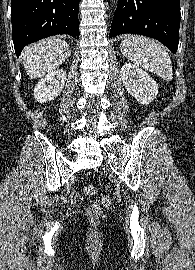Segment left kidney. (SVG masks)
<instances>
[{
  "mask_svg": "<svg viewBox=\"0 0 195 270\" xmlns=\"http://www.w3.org/2000/svg\"><path fill=\"white\" fill-rule=\"evenodd\" d=\"M120 75L126 90L141 104L147 105L156 98L158 84L142 69L126 63Z\"/></svg>",
  "mask_w": 195,
  "mask_h": 270,
  "instance_id": "obj_1",
  "label": "left kidney"
}]
</instances>
